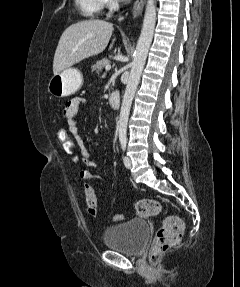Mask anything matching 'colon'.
<instances>
[{
  "label": "colon",
  "mask_w": 240,
  "mask_h": 287,
  "mask_svg": "<svg viewBox=\"0 0 240 287\" xmlns=\"http://www.w3.org/2000/svg\"><path fill=\"white\" fill-rule=\"evenodd\" d=\"M56 139L64 154L77 166L80 176L84 180H89L86 166L82 163L79 149L74 135L68 124H60L56 130ZM85 203L87 212L93 216H98L97 197L94 188L86 183ZM136 211L141 216H156L162 211V205L155 199H141L135 203ZM113 221L123 220V215H114ZM184 223L178 216H168L155 236L154 245L150 252V258L156 260L162 253L178 244L182 238Z\"/></svg>",
  "instance_id": "obj_1"
}]
</instances>
